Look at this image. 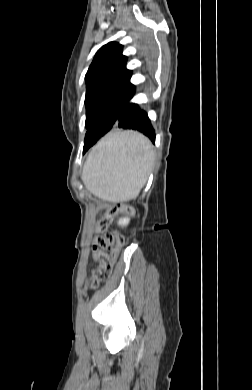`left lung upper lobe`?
I'll return each instance as SVG.
<instances>
[{
    "label": "left lung upper lobe",
    "instance_id": "1",
    "mask_svg": "<svg viewBox=\"0 0 252 390\" xmlns=\"http://www.w3.org/2000/svg\"><path fill=\"white\" fill-rule=\"evenodd\" d=\"M126 61L118 43L110 42L96 53L85 76L86 126L97 117L118 114L134 96L132 71L126 69Z\"/></svg>",
    "mask_w": 252,
    "mask_h": 390
}]
</instances>
